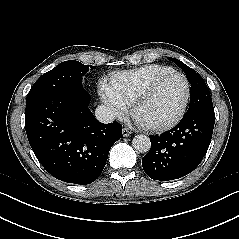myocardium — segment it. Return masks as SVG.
<instances>
[{"label": "myocardium", "mask_w": 239, "mask_h": 239, "mask_svg": "<svg viewBox=\"0 0 239 239\" xmlns=\"http://www.w3.org/2000/svg\"><path fill=\"white\" fill-rule=\"evenodd\" d=\"M180 76L185 84V96L182 102V105L178 111V113L170 120L163 122V123H158V124H143V123H139L142 127H144L147 130L150 131H154V132H163V131H167L171 128H173L174 126H176L185 116L187 108H188V104L190 101V97H191V85L189 83V80L187 78V76L177 70H170L167 71L163 74H160L159 76L155 77L145 88H143L136 96V98L134 99V101L132 102L131 105V114L133 116L134 119L137 120L136 115H137V111L139 109V107L141 106V104H143L148 98L149 96L154 92V90L157 88V86L166 78H168L169 76Z\"/></svg>", "instance_id": "1"}]
</instances>
